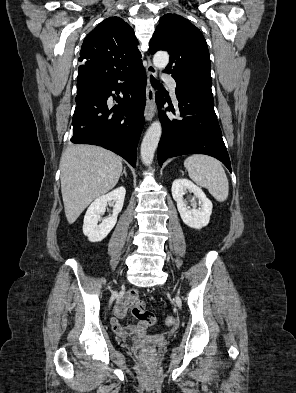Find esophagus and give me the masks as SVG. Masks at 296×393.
<instances>
[{
    "instance_id": "34e87169",
    "label": "esophagus",
    "mask_w": 296,
    "mask_h": 393,
    "mask_svg": "<svg viewBox=\"0 0 296 393\" xmlns=\"http://www.w3.org/2000/svg\"><path fill=\"white\" fill-rule=\"evenodd\" d=\"M148 66H147V86H146V107H145V119L147 121H151L155 115V90L151 85L150 78L157 77V69L152 64L150 57H147Z\"/></svg>"
}]
</instances>
